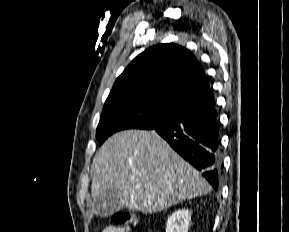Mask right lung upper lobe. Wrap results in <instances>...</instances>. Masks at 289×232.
Masks as SVG:
<instances>
[{
  "label": "right lung upper lobe",
  "mask_w": 289,
  "mask_h": 232,
  "mask_svg": "<svg viewBox=\"0 0 289 232\" xmlns=\"http://www.w3.org/2000/svg\"><path fill=\"white\" fill-rule=\"evenodd\" d=\"M114 97H143L178 109L214 100L195 56L170 43L158 44L138 55L116 79L108 98Z\"/></svg>",
  "instance_id": "cb5924a9"
}]
</instances>
